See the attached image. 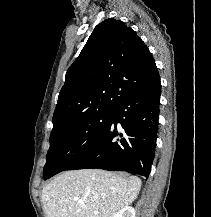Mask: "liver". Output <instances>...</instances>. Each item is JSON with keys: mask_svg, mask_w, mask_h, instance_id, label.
Instances as JSON below:
<instances>
[{"mask_svg": "<svg viewBox=\"0 0 211 217\" xmlns=\"http://www.w3.org/2000/svg\"><path fill=\"white\" fill-rule=\"evenodd\" d=\"M140 188L136 176L83 169L55 177L41 198L46 217H113L132 204Z\"/></svg>", "mask_w": 211, "mask_h": 217, "instance_id": "obj_1", "label": "liver"}]
</instances>
